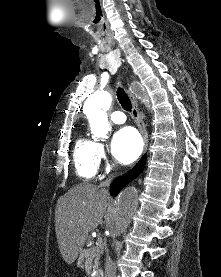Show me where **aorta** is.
I'll list each match as a JSON object with an SVG mask.
<instances>
[{
    "mask_svg": "<svg viewBox=\"0 0 221 277\" xmlns=\"http://www.w3.org/2000/svg\"><path fill=\"white\" fill-rule=\"evenodd\" d=\"M112 96L108 91L94 93L86 102L84 112L89 119L91 132L106 138L110 126L106 111L110 108ZM138 206V194L134 187L123 190L114 202L110 223L106 233L110 237L117 236L130 224Z\"/></svg>",
    "mask_w": 221,
    "mask_h": 277,
    "instance_id": "aorta-1",
    "label": "aorta"
}]
</instances>
